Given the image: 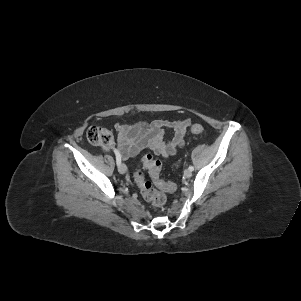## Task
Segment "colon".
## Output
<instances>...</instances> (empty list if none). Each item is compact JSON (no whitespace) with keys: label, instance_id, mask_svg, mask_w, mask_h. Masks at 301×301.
<instances>
[{"label":"colon","instance_id":"colon-1","mask_svg":"<svg viewBox=\"0 0 301 301\" xmlns=\"http://www.w3.org/2000/svg\"><path fill=\"white\" fill-rule=\"evenodd\" d=\"M190 130L193 134H201L204 132V127L201 124H193ZM86 136L88 141L96 146L107 147L113 142L111 131L100 126H91L87 130ZM141 163L148 170L151 180H145L143 172L136 171L134 173V181L148 202L153 206H161L165 203V195L155 189V187L162 191L173 192L176 190V185L166 182L161 178V163L159 160L153 158L152 155L148 154L144 156Z\"/></svg>","mask_w":301,"mask_h":301}]
</instances>
